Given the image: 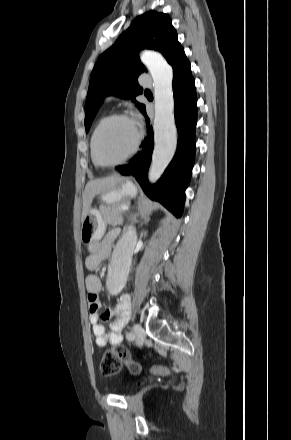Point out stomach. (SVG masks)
Returning <instances> with one entry per match:
<instances>
[{"label":"stomach","instance_id":"0dacf381","mask_svg":"<svg viewBox=\"0 0 291 440\" xmlns=\"http://www.w3.org/2000/svg\"><path fill=\"white\" fill-rule=\"evenodd\" d=\"M137 187L128 179H123L106 192L101 193L100 199L106 204L123 203L127 198L135 197ZM105 231V222L97 209H89L82 221L81 240L85 243L94 241Z\"/></svg>","mask_w":291,"mask_h":440}]
</instances>
